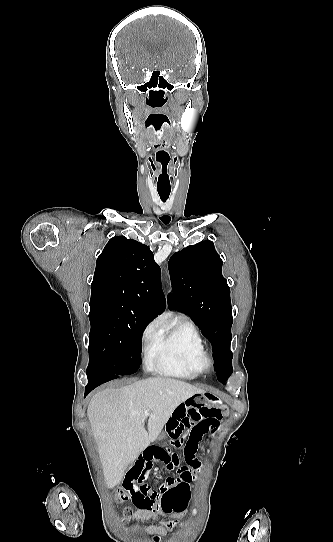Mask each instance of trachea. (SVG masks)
Segmentation results:
<instances>
[{
    "mask_svg": "<svg viewBox=\"0 0 333 542\" xmlns=\"http://www.w3.org/2000/svg\"><path fill=\"white\" fill-rule=\"evenodd\" d=\"M158 190V193H159V196L161 198V200L163 202H166V200L168 199L169 195H170V190H167V189H157Z\"/></svg>",
    "mask_w": 333,
    "mask_h": 542,
    "instance_id": "1",
    "label": "trachea"
}]
</instances>
